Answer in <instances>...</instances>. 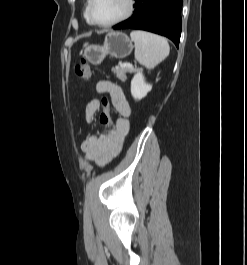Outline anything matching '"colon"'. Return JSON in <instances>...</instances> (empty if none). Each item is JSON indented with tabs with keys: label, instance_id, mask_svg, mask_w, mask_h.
Segmentation results:
<instances>
[{
	"label": "colon",
	"instance_id": "1",
	"mask_svg": "<svg viewBox=\"0 0 247 265\" xmlns=\"http://www.w3.org/2000/svg\"><path fill=\"white\" fill-rule=\"evenodd\" d=\"M76 75L83 81H88L91 77V67L85 59L76 65L75 67ZM100 122L106 127L112 125V118L110 113V107L108 101L105 99L103 102V110L100 114Z\"/></svg>",
	"mask_w": 247,
	"mask_h": 265
}]
</instances>
